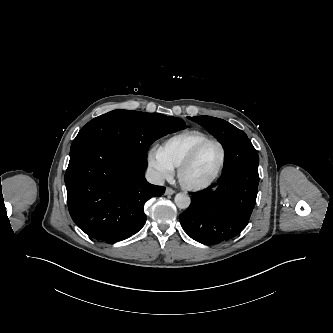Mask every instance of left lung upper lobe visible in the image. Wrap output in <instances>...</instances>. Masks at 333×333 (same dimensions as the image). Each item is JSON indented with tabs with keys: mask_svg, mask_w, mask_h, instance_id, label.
I'll return each mask as SVG.
<instances>
[{
	"mask_svg": "<svg viewBox=\"0 0 333 333\" xmlns=\"http://www.w3.org/2000/svg\"><path fill=\"white\" fill-rule=\"evenodd\" d=\"M190 120L202 125L208 132H210L226 149L231 143L247 135L236 128L229 122L209 117V116H194L189 117Z\"/></svg>",
	"mask_w": 333,
	"mask_h": 333,
	"instance_id": "obj_1",
	"label": "left lung upper lobe"
}]
</instances>
